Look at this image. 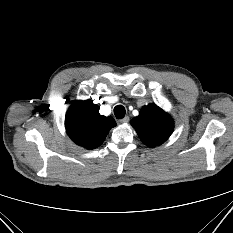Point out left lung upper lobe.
<instances>
[{
	"label": "left lung upper lobe",
	"instance_id": "1",
	"mask_svg": "<svg viewBox=\"0 0 233 233\" xmlns=\"http://www.w3.org/2000/svg\"><path fill=\"white\" fill-rule=\"evenodd\" d=\"M131 124L144 144L155 147L165 142L173 132L171 117L156 104L142 107Z\"/></svg>",
	"mask_w": 233,
	"mask_h": 233
}]
</instances>
